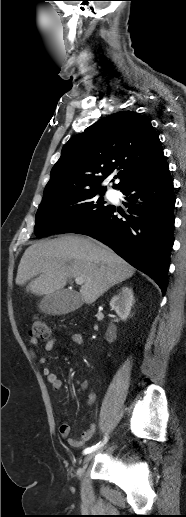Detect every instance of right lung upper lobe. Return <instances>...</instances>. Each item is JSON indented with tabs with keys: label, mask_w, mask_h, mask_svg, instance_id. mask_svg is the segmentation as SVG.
Masks as SVG:
<instances>
[{
	"label": "right lung upper lobe",
	"mask_w": 186,
	"mask_h": 517,
	"mask_svg": "<svg viewBox=\"0 0 186 517\" xmlns=\"http://www.w3.org/2000/svg\"><path fill=\"white\" fill-rule=\"evenodd\" d=\"M166 159L148 117L136 112L111 114L72 137L51 170L42 202L62 195L103 190L101 182L119 170L122 189L165 166Z\"/></svg>",
	"instance_id": "obj_1"
}]
</instances>
